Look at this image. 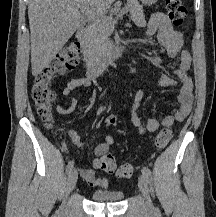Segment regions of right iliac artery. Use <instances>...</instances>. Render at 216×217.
I'll return each instance as SVG.
<instances>
[{
  "instance_id": "82829eb1",
  "label": "right iliac artery",
  "mask_w": 216,
  "mask_h": 217,
  "mask_svg": "<svg viewBox=\"0 0 216 217\" xmlns=\"http://www.w3.org/2000/svg\"><path fill=\"white\" fill-rule=\"evenodd\" d=\"M105 91H106V90H105ZM105 91L103 92V94H102L101 96H103V95L105 94ZM73 166H74V162H73V161H70V162L68 163L67 167H66V172H67V173H70L71 170H72V168H73Z\"/></svg>"
}]
</instances>
